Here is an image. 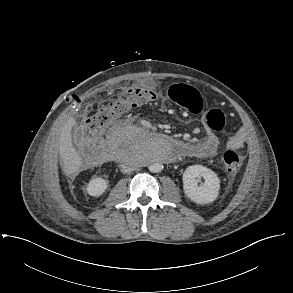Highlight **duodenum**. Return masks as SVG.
Returning a JSON list of instances; mask_svg holds the SVG:
<instances>
[{
	"mask_svg": "<svg viewBox=\"0 0 293 293\" xmlns=\"http://www.w3.org/2000/svg\"><path fill=\"white\" fill-rule=\"evenodd\" d=\"M166 139L172 144L174 148V155L169 158H165L166 162L172 163L177 160L178 155H182L185 151H188L189 145L188 143L179 140L173 136H167ZM116 155H113V157Z\"/></svg>",
	"mask_w": 293,
	"mask_h": 293,
	"instance_id": "duodenum-1",
	"label": "duodenum"
}]
</instances>
